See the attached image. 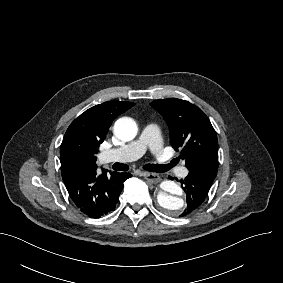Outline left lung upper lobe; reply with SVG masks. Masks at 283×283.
<instances>
[{"label": "left lung upper lobe", "instance_id": "obj_1", "mask_svg": "<svg viewBox=\"0 0 283 283\" xmlns=\"http://www.w3.org/2000/svg\"><path fill=\"white\" fill-rule=\"evenodd\" d=\"M169 126L170 143L189 170L218 171V141L216 132L203 111L186 100L175 98L152 102Z\"/></svg>", "mask_w": 283, "mask_h": 283}]
</instances>
